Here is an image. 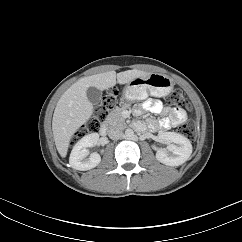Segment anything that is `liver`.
Returning <instances> with one entry per match:
<instances>
[{
	"mask_svg": "<svg viewBox=\"0 0 242 242\" xmlns=\"http://www.w3.org/2000/svg\"><path fill=\"white\" fill-rule=\"evenodd\" d=\"M150 74L140 70H127L117 74L109 71L81 78L71 85L60 97L52 120L53 136L60 156L66 157L72 136L92 116L93 105L87 97L89 87L102 91L115 86L116 82L126 84L134 78Z\"/></svg>",
	"mask_w": 242,
	"mask_h": 242,
	"instance_id": "liver-1",
	"label": "liver"
}]
</instances>
